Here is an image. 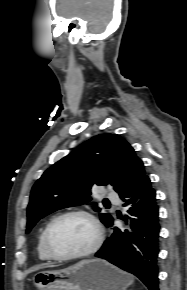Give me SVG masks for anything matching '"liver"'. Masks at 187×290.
Listing matches in <instances>:
<instances>
[{
    "label": "liver",
    "mask_w": 187,
    "mask_h": 290,
    "mask_svg": "<svg viewBox=\"0 0 187 290\" xmlns=\"http://www.w3.org/2000/svg\"><path fill=\"white\" fill-rule=\"evenodd\" d=\"M45 267H52L51 265H42V266H37V267H34L31 269V271H36L38 269H41V268H45Z\"/></svg>",
    "instance_id": "liver-1"
}]
</instances>
